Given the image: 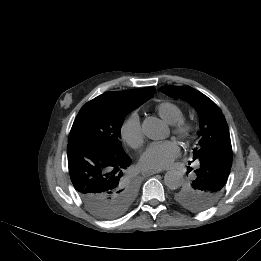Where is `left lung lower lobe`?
<instances>
[{"label":"left lung lower lobe","mask_w":261,"mask_h":261,"mask_svg":"<svg viewBox=\"0 0 261 261\" xmlns=\"http://www.w3.org/2000/svg\"><path fill=\"white\" fill-rule=\"evenodd\" d=\"M191 163V162H190ZM208 161H202L199 168L195 170L194 180H207V177H214L218 179H226L228 177L231 166L221 168L222 170L215 171L212 164ZM190 169V167H188ZM193 180V181H194Z\"/></svg>","instance_id":"obj_1"}]
</instances>
